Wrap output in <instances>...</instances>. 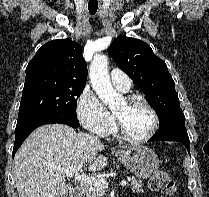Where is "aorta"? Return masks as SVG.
Instances as JSON below:
<instances>
[{"label":"aorta","mask_w":209,"mask_h":197,"mask_svg":"<svg viewBox=\"0 0 209 197\" xmlns=\"http://www.w3.org/2000/svg\"><path fill=\"white\" fill-rule=\"evenodd\" d=\"M90 79L98 97L109 107L118 105L121 95L112 87L108 74V58L103 54H96L90 65Z\"/></svg>","instance_id":"762f6f07"}]
</instances>
